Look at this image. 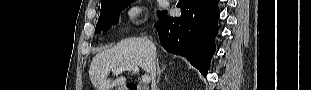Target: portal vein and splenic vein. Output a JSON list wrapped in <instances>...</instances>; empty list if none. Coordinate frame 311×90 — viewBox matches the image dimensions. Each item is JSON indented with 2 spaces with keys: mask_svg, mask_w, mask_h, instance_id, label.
<instances>
[{
  "mask_svg": "<svg viewBox=\"0 0 311 90\" xmlns=\"http://www.w3.org/2000/svg\"><path fill=\"white\" fill-rule=\"evenodd\" d=\"M133 71V72H139V67H137V66H126V67H122V68H117V69H115V70H113V73L114 74H120V73H122L123 71ZM142 81H143V83H145V84H149L150 83V81H151V78H150V76L149 75H143L142 76Z\"/></svg>",
  "mask_w": 311,
  "mask_h": 90,
  "instance_id": "obj_1",
  "label": "portal vein and splenic vein"
}]
</instances>
